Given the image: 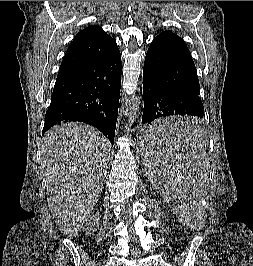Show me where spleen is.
<instances>
[{
	"mask_svg": "<svg viewBox=\"0 0 253 266\" xmlns=\"http://www.w3.org/2000/svg\"><path fill=\"white\" fill-rule=\"evenodd\" d=\"M156 123H143L146 138H140L142 169H148L152 187H164L159 198L179 213L183 229L198 232L207 184L208 141H202L203 123L196 115L168 113Z\"/></svg>",
	"mask_w": 253,
	"mask_h": 266,
	"instance_id": "obj_1",
	"label": "spleen"
}]
</instances>
